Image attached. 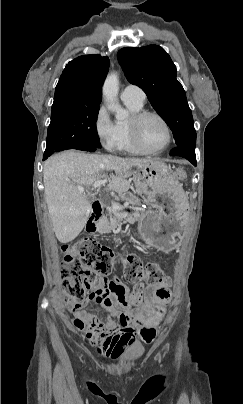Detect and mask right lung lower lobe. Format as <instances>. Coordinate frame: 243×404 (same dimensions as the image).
Returning a JSON list of instances; mask_svg holds the SVG:
<instances>
[{
	"label": "right lung lower lobe",
	"instance_id": "98d812e1",
	"mask_svg": "<svg viewBox=\"0 0 243 404\" xmlns=\"http://www.w3.org/2000/svg\"><path fill=\"white\" fill-rule=\"evenodd\" d=\"M74 149L93 152V151H96L99 148L81 146V147H76Z\"/></svg>",
	"mask_w": 243,
	"mask_h": 404
}]
</instances>
